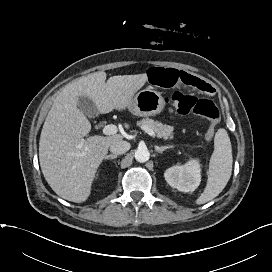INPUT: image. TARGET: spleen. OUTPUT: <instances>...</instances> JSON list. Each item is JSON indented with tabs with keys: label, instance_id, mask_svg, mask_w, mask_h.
<instances>
[{
	"label": "spleen",
	"instance_id": "spleen-1",
	"mask_svg": "<svg viewBox=\"0 0 272 272\" xmlns=\"http://www.w3.org/2000/svg\"><path fill=\"white\" fill-rule=\"evenodd\" d=\"M232 147L224 128L214 138V152L210 158L207 185L196 204H205L217 197L227 185L232 173Z\"/></svg>",
	"mask_w": 272,
	"mask_h": 272
}]
</instances>
